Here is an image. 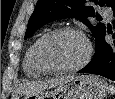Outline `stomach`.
Returning a JSON list of instances; mask_svg holds the SVG:
<instances>
[{
	"label": "stomach",
	"mask_w": 115,
	"mask_h": 99,
	"mask_svg": "<svg viewBox=\"0 0 115 99\" xmlns=\"http://www.w3.org/2000/svg\"><path fill=\"white\" fill-rule=\"evenodd\" d=\"M108 91L106 81L94 75L74 76L49 91L25 94L23 99H102Z\"/></svg>",
	"instance_id": "obj_1"
}]
</instances>
